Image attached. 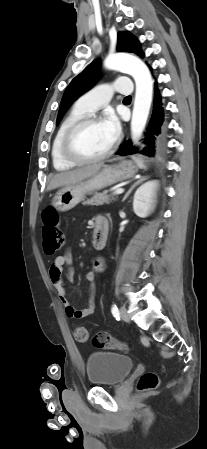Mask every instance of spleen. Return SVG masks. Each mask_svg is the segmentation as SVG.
Returning <instances> with one entry per match:
<instances>
[{
  "mask_svg": "<svg viewBox=\"0 0 207 449\" xmlns=\"http://www.w3.org/2000/svg\"><path fill=\"white\" fill-rule=\"evenodd\" d=\"M133 159L136 162V164L138 165V167L145 168V165H144V163H143V161L141 159H138L136 157H133Z\"/></svg>",
  "mask_w": 207,
  "mask_h": 449,
  "instance_id": "1",
  "label": "spleen"
}]
</instances>
